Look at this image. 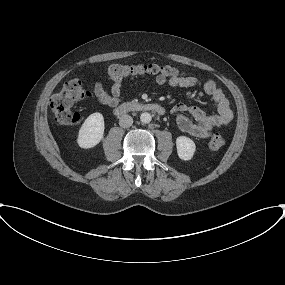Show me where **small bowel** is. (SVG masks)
Returning <instances> with one entry per match:
<instances>
[{
  "label": "small bowel",
  "mask_w": 285,
  "mask_h": 285,
  "mask_svg": "<svg viewBox=\"0 0 285 285\" xmlns=\"http://www.w3.org/2000/svg\"><path fill=\"white\" fill-rule=\"evenodd\" d=\"M155 83L159 86L169 85L171 87L188 88L198 85L199 81L194 77L187 76L170 79L156 77ZM202 89L215 103L216 114L208 115L201 108L189 106L185 103L176 104L172 108V113L176 116L177 125L182 132L197 138H208L231 123L233 112L223 90L214 80L204 81ZM94 93L101 104L116 107L122 100L123 86L120 81H115L110 92H107L102 83L98 81L94 85ZM187 115H190L194 121Z\"/></svg>",
  "instance_id": "c3829d8e"
}]
</instances>
